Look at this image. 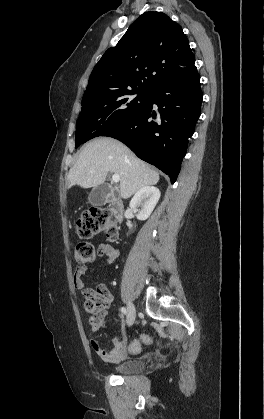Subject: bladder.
<instances>
[{"label":"bladder","mask_w":264,"mask_h":419,"mask_svg":"<svg viewBox=\"0 0 264 419\" xmlns=\"http://www.w3.org/2000/svg\"><path fill=\"white\" fill-rule=\"evenodd\" d=\"M144 368V362L137 359H131L120 363L114 368L113 371L118 375H130L139 373L143 371Z\"/></svg>","instance_id":"31cf9c89"}]
</instances>
